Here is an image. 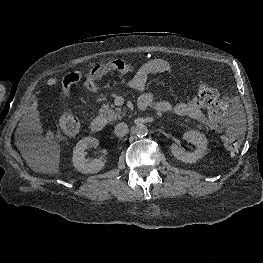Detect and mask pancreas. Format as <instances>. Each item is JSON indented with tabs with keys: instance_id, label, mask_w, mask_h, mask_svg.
Masks as SVG:
<instances>
[{
	"instance_id": "cf45deb5",
	"label": "pancreas",
	"mask_w": 263,
	"mask_h": 263,
	"mask_svg": "<svg viewBox=\"0 0 263 263\" xmlns=\"http://www.w3.org/2000/svg\"><path fill=\"white\" fill-rule=\"evenodd\" d=\"M114 105H104L100 110L99 113L105 117V120L107 122H112L117 119H121L125 113L121 111L120 108L116 107L115 109Z\"/></svg>"
}]
</instances>
